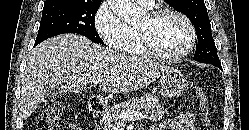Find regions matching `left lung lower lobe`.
<instances>
[{"label":"left lung lower lobe","instance_id":"left-lung-lower-lobe-1","mask_svg":"<svg viewBox=\"0 0 249 130\" xmlns=\"http://www.w3.org/2000/svg\"><path fill=\"white\" fill-rule=\"evenodd\" d=\"M214 66H216V67H218V68H220V69L222 70V67H221V65H214Z\"/></svg>","mask_w":249,"mask_h":130}]
</instances>
